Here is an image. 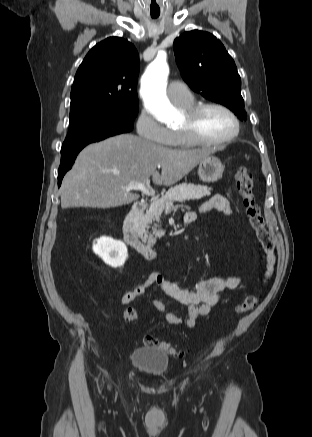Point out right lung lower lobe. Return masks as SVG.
<instances>
[{
  "label": "right lung lower lobe",
  "mask_w": 312,
  "mask_h": 437,
  "mask_svg": "<svg viewBox=\"0 0 312 437\" xmlns=\"http://www.w3.org/2000/svg\"><path fill=\"white\" fill-rule=\"evenodd\" d=\"M83 147L71 150L69 152L62 153L61 164L58 170V187L61 185L63 176L69 169H71L77 154L82 150Z\"/></svg>",
  "instance_id": "98d812e1"
}]
</instances>
